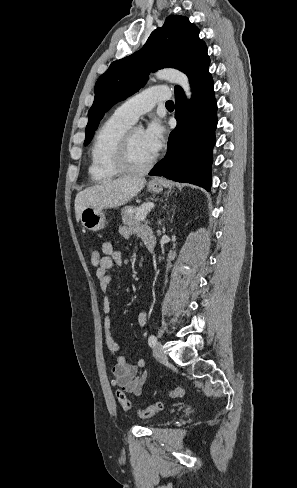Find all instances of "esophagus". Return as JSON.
Here are the masks:
<instances>
[{"mask_svg":"<svg viewBox=\"0 0 297 488\" xmlns=\"http://www.w3.org/2000/svg\"><path fill=\"white\" fill-rule=\"evenodd\" d=\"M158 181H159L158 179H153V180H151V182H150V183H151V184H156V183H158Z\"/></svg>","mask_w":297,"mask_h":488,"instance_id":"esophagus-1","label":"esophagus"}]
</instances>
